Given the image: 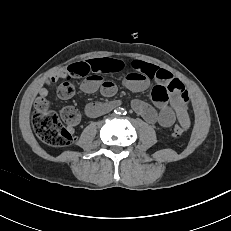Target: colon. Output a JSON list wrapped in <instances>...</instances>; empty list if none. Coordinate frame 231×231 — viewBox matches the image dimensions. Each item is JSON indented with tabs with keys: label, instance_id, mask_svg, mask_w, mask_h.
<instances>
[{
	"label": "colon",
	"instance_id": "1",
	"mask_svg": "<svg viewBox=\"0 0 231 231\" xmlns=\"http://www.w3.org/2000/svg\"><path fill=\"white\" fill-rule=\"evenodd\" d=\"M68 68V77L80 76L81 72L75 65ZM74 87L70 81L62 83L57 89V95L66 99L72 96ZM80 115L77 109L71 106L64 107L60 114L52 111L48 104L35 108L32 116L33 129L40 140L53 147H67L73 142L71 127L79 122ZM187 127L178 123L173 128V135L180 136Z\"/></svg>",
	"mask_w": 231,
	"mask_h": 231
}]
</instances>
